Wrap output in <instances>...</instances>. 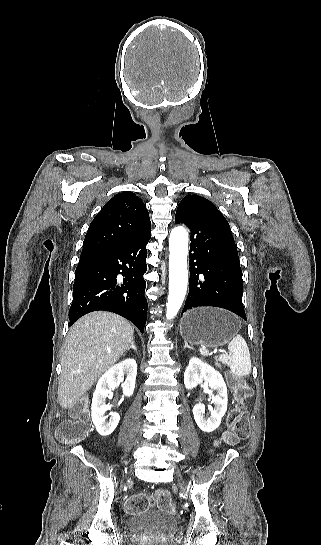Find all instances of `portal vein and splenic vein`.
I'll list each match as a JSON object with an SVG mask.
<instances>
[{"mask_svg":"<svg viewBox=\"0 0 321 545\" xmlns=\"http://www.w3.org/2000/svg\"><path fill=\"white\" fill-rule=\"evenodd\" d=\"M217 350H218L217 347L214 346V347H212V349L210 350V353H211L212 355H215V354L217 353ZM222 353H225V351H222Z\"/></svg>","mask_w":321,"mask_h":545,"instance_id":"obj_1","label":"portal vein and splenic vein"}]
</instances>
